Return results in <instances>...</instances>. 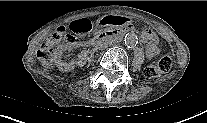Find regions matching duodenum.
<instances>
[{"label":"duodenum","mask_w":207,"mask_h":123,"mask_svg":"<svg viewBox=\"0 0 207 123\" xmlns=\"http://www.w3.org/2000/svg\"><path fill=\"white\" fill-rule=\"evenodd\" d=\"M121 33L119 31L113 30L108 32H103L95 36L90 42L89 45H95L99 42L108 41L117 37H120Z\"/></svg>","instance_id":"1"}]
</instances>
